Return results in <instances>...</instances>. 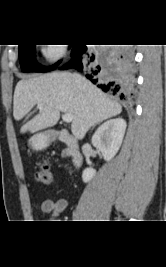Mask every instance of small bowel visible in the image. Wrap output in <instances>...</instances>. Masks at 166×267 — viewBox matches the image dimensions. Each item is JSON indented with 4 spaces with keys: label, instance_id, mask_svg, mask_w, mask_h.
<instances>
[{
    "label": "small bowel",
    "instance_id": "obj_1",
    "mask_svg": "<svg viewBox=\"0 0 166 267\" xmlns=\"http://www.w3.org/2000/svg\"><path fill=\"white\" fill-rule=\"evenodd\" d=\"M67 205L68 202L65 198L45 199L42 201L40 208L43 213L50 214L51 218L55 220L66 209Z\"/></svg>",
    "mask_w": 166,
    "mask_h": 267
}]
</instances>
